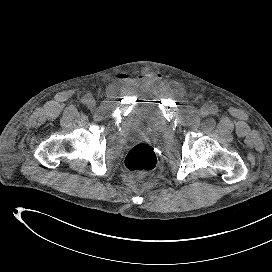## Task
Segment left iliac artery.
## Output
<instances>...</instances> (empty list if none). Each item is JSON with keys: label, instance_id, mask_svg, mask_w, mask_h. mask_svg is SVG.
I'll list each match as a JSON object with an SVG mask.
<instances>
[{"label": "left iliac artery", "instance_id": "44dca946", "mask_svg": "<svg viewBox=\"0 0 272 272\" xmlns=\"http://www.w3.org/2000/svg\"><path fill=\"white\" fill-rule=\"evenodd\" d=\"M211 113L212 114H217L218 113V107L217 106H212L211 107Z\"/></svg>", "mask_w": 272, "mask_h": 272}]
</instances>
